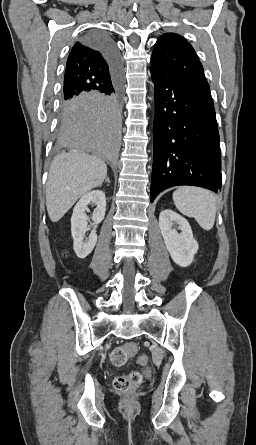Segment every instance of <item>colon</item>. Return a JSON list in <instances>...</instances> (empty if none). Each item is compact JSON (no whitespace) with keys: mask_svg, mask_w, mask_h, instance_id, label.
Masks as SVG:
<instances>
[{"mask_svg":"<svg viewBox=\"0 0 256 445\" xmlns=\"http://www.w3.org/2000/svg\"><path fill=\"white\" fill-rule=\"evenodd\" d=\"M137 353V345L126 343L116 347L111 353L110 360L115 366H123ZM142 378L138 372L120 375L114 380V388L122 393H133L141 384Z\"/></svg>","mask_w":256,"mask_h":445,"instance_id":"5ec220e1","label":"colon"}]
</instances>
